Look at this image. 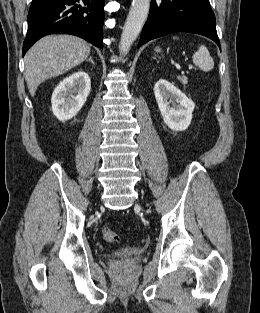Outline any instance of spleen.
Segmentation results:
<instances>
[{
  "label": "spleen",
  "mask_w": 260,
  "mask_h": 313,
  "mask_svg": "<svg viewBox=\"0 0 260 313\" xmlns=\"http://www.w3.org/2000/svg\"><path fill=\"white\" fill-rule=\"evenodd\" d=\"M177 37H174L176 39ZM193 63L197 65L202 71L208 72L213 69L214 61L210 56L208 49L201 45L197 52H195L192 56Z\"/></svg>",
  "instance_id": "obj_1"
}]
</instances>
